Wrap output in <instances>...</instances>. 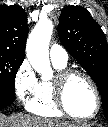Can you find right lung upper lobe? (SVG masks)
Segmentation results:
<instances>
[{"mask_svg": "<svg viewBox=\"0 0 108 127\" xmlns=\"http://www.w3.org/2000/svg\"><path fill=\"white\" fill-rule=\"evenodd\" d=\"M27 14L18 5L0 6V53L25 57Z\"/></svg>", "mask_w": 108, "mask_h": 127, "instance_id": "cb5924a9", "label": "right lung upper lobe"}]
</instances>
